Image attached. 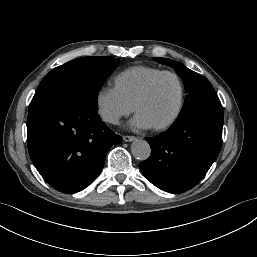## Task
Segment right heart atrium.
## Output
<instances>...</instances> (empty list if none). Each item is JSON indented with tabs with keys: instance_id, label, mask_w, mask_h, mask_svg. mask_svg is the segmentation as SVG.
Listing matches in <instances>:
<instances>
[{
	"instance_id": "obj_1",
	"label": "right heart atrium",
	"mask_w": 257,
	"mask_h": 257,
	"mask_svg": "<svg viewBox=\"0 0 257 257\" xmlns=\"http://www.w3.org/2000/svg\"><path fill=\"white\" fill-rule=\"evenodd\" d=\"M98 113L102 119L110 124H117L121 118L133 111L129 103L116 87L102 86L96 95Z\"/></svg>"
}]
</instances>
